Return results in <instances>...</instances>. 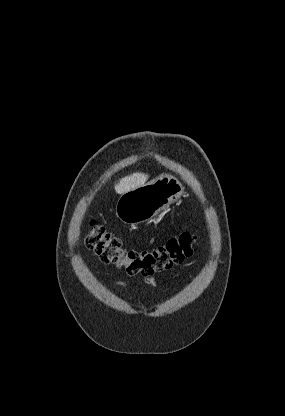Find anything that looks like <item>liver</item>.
Wrapping results in <instances>:
<instances>
[{
  "instance_id": "obj_1",
  "label": "liver",
  "mask_w": 285,
  "mask_h": 416,
  "mask_svg": "<svg viewBox=\"0 0 285 416\" xmlns=\"http://www.w3.org/2000/svg\"><path fill=\"white\" fill-rule=\"evenodd\" d=\"M149 176L147 174H131V176H125L119 180V184H115L114 190L116 194H126L130 190H135V188H140V186H145Z\"/></svg>"
}]
</instances>
